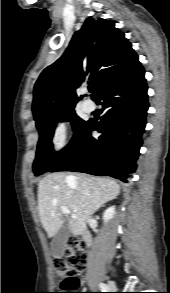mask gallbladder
Listing matches in <instances>:
<instances>
[{"label": "gallbladder", "mask_w": 170, "mask_h": 293, "mask_svg": "<svg viewBox=\"0 0 170 293\" xmlns=\"http://www.w3.org/2000/svg\"><path fill=\"white\" fill-rule=\"evenodd\" d=\"M69 237L70 228L68 222L65 221L51 241V253L55 258H61L63 256Z\"/></svg>", "instance_id": "bac80fb5"}]
</instances>
